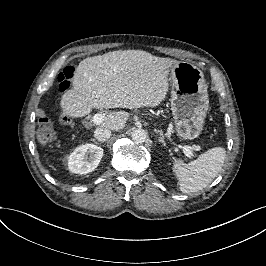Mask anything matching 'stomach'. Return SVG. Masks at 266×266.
<instances>
[{
    "mask_svg": "<svg viewBox=\"0 0 266 266\" xmlns=\"http://www.w3.org/2000/svg\"><path fill=\"white\" fill-rule=\"evenodd\" d=\"M171 110L177 135L181 139L197 138L209 108L203 72L191 63L179 62L170 69Z\"/></svg>",
    "mask_w": 266,
    "mask_h": 266,
    "instance_id": "1",
    "label": "stomach"
}]
</instances>
